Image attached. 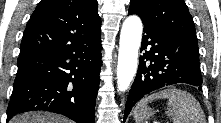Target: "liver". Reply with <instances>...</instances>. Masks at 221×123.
<instances>
[{
    "instance_id": "1",
    "label": "liver",
    "mask_w": 221,
    "mask_h": 123,
    "mask_svg": "<svg viewBox=\"0 0 221 123\" xmlns=\"http://www.w3.org/2000/svg\"><path fill=\"white\" fill-rule=\"evenodd\" d=\"M10 123H69L67 119L47 112H28L15 116Z\"/></svg>"
}]
</instances>
